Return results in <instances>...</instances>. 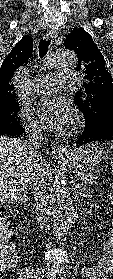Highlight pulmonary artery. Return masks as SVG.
<instances>
[{
	"mask_svg": "<svg viewBox=\"0 0 113 279\" xmlns=\"http://www.w3.org/2000/svg\"><path fill=\"white\" fill-rule=\"evenodd\" d=\"M60 81L69 85L73 83V79L69 74H62L59 76H52L40 79L38 80L36 87L41 91L51 90L54 89Z\"/></svg>",
	"mask_w": 113,
	"mask_h": 279,
	"instance_id": "e3ab8cb5",
	"label": "pulmonary artery"
}]
</instances>
